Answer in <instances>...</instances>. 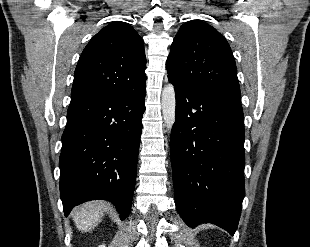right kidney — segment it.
Wrapping results in <instances>:
<instances>
[{
    "label": "right kidney",
    "mask_w": 310,
    "mask_h": 247,
    "mask_svg": "<svg viewBox=\"0 0 310 247\" xmlns=\"http://www.w3.org/2000/svg\"><path fill=\"white\" fill-rule=\"evenodd\" d=\"M99 247H105V245H100Z\"/></svg>",
    "instance_id": "1"
}]
</instances>
